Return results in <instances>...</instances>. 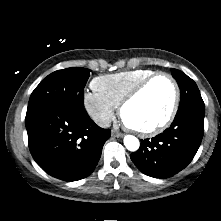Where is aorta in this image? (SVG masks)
<instances>
[{
    "instance_id": "762f6f07",
    "label": "aorta",
    "mask_w": 221,
    "mask_h": 221,
    "mask_svg": "<svg viewBox=\"0 0 221 221\" xmlns=\"http://www.w3.org/2000/svg\"><path fill=\"white\" fill-rule=\"evenodd\" d=\"M123 141L125 147L132 152L137 151L140 146L138 138L133 135H126Z\"/></svg>"
}]
</instances>
